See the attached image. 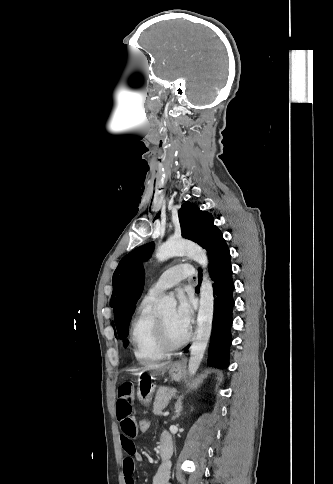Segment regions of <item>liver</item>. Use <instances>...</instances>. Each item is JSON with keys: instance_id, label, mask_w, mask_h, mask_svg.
Returning <instances> with one entry per match:
<instances>
[{"instance_id": "1", "label": "liver", "mask_w": 333, "mask_h": 484, "mask_svg": "<svg viewBox=\"0 0 333 484\" xmlns=\"http://www.w3.org/2000/svg\"><path fill=\"white\" fill-rule=\"evenodd\" d=\"M171 365V362H163V363H153V364H149L145 367H142V368H137V369H134L133 371L135 372H146V371H152L154 373H165L169 366Z\"/></svg>"}]
</instances>
